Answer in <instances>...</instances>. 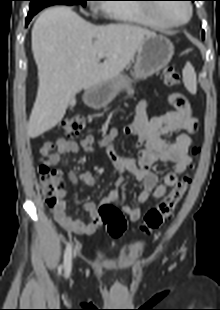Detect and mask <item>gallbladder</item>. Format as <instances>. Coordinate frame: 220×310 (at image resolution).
Here are the masks:
<instances>
[{
	"label": "gallbladder",
	"mask_w": 220,
	"mask_h": 310,
	"mask_svg": "<svg viewBox=\"0 0 220 310\" xmlns=\"http://www.w3.org/2000/svg\"><path fill=\"white\" fill-rule=\"evenodd\" d=\"M75 104H76V99L73 97L72 99H71V101L69 102V107H74L75 106Z\"/></svg>",
	"instance_id": "bac80fb5"
}]
</instances>
